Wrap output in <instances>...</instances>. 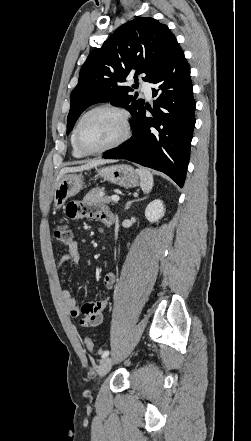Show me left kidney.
Returning <instances> with one entry per match:
<instances>
[{
    "label": "left kidney",
    "instance_id": "1",
    "mask_svg": "<svg viewBox=\"0 0 251 441\" xmlns=\"http://www.w3.org/2000/svg\"><path fill=\"white\" fill-rule=\"evenodd\" d=\"M164 214H165L164 205L163 202L159 199L149 203L145 210V217L151 223L158 222L159 219H161L164 216Z\"/></svg>",
    "mask_w": 251,
    "mask_h": 441
}]
</instances>
